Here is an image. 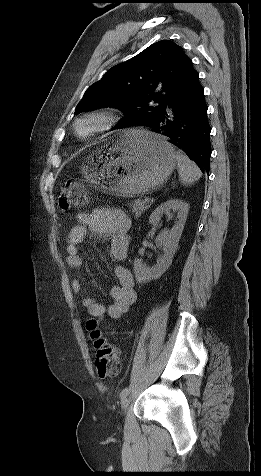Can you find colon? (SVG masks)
<instances>
[{
  "mask_svg": "<svg viewBox=\"0 0 261 476\" xmlns=\"http://www.w3.org/2000/svg\"><path fill=\"white\" fill-rule=\"evenodd\" d=\"M58 207L62 211L82 206L87 202V195L81 180L64 182L58 196ZM87 329L95 347V365L100 379H112L117 376L120 363L118 351L98 328L95 319L87 321Z\"/></svg>",
  "mask_w": 261,
  "mask_h": 476,
  "instance_id": "5ec220e1",
  "label": "colon"
}]
</instances>
